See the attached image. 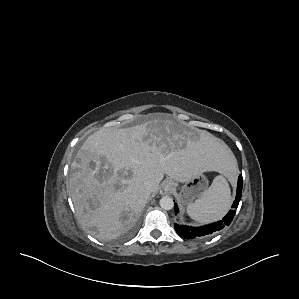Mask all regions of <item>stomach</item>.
<instances>
[{"instance_id":"stomach-1","label":"stomach","mask_w":299,"mask_h":299,"mask_svg":"<svg viewBox=\"0 0 299 299\" xmlns=\"http://www.w3.org/2000/svg\"><path fill=\"white\" fill-rule=\"evenodd\" d=\"M167 182L171 184L172 187L178 186V183L172 179H168ZM207 186L208 181L203 173L192 177L181 187V191L179 193L180 202L184 205H189L203 195V193L207 190Z\"/></svg>"}]
</instances>
